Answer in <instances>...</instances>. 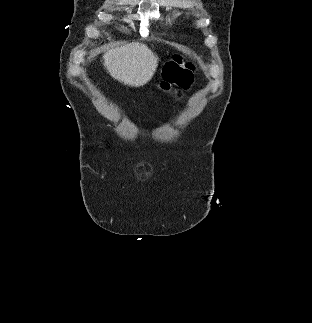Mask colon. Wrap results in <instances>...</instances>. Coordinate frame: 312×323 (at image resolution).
<instances>
[{"instance_id": "colon-1", "label": "colon", "mask_w": 312, "mask_h": 323, "mask_svg": "<svg viewBox=\"0 0 312 323\" xmlns=\"http://www.w3.org/2000/svg\"><path fill=\"white\" fill-rule=\"evenodd\" d=\"M184 58L178 55L166 68L165 80L160 85L162 90L170 88L171 84H177L182 89L188 90L194 77V69L189 64H183Z\"/></svg>"}]
</instances>
